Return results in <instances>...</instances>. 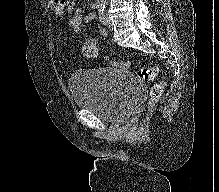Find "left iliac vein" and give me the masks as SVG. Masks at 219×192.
I'll list each match as a JSON object with an SVG mask.
<instances>
[{
    "mask_svg": "<svg viewBox=\"0 0 219 192\" xmlns=\"http://www.w3.org/2000/svg\"><path fill=\"white\" fill-rule=\"evenodd\" d=\"M104 25L109 29V30H113V23L111 22V20L109 19V17L107 15H104Z\"/></svg>",
    "mask_w": 219,
    "mask_h": 192,
    "instance_id": "4c4485c4",
    "label": "left iliac vein"
}]
</instances>
